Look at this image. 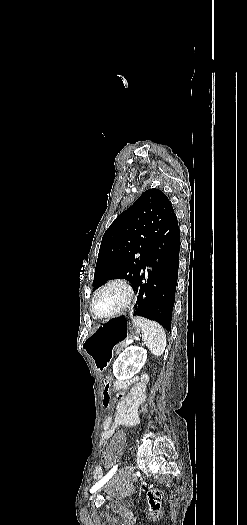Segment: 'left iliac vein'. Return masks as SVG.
Instances as JSON below:
<instances>
[{
	"mask_svg": "<svg viewBox=\"0 0 247 525\" xmlns=\"http://www.w3.org/2000/svg\"><path fill=\"white\" fill-rule=\"evenodd\" d=\"M106 486H107V484H106V485H103V486H101L99 489H97V490L93 493V495L91 496V499L93 500V499L98 495V493H99L102 489H104Z\"/></svg>",
	"mask_w": 247,
	"mask_h": 525,
	"instance_id": "1",
	"label": "left iliac vein"
}]
</instances>
